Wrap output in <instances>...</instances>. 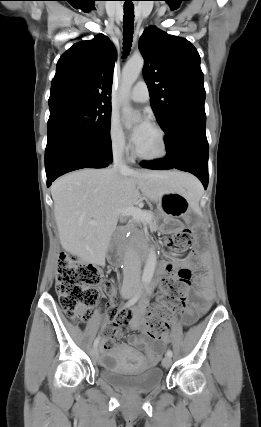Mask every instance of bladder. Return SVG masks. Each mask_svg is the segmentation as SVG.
Masks as SVG:
<instances>
[{
    "mask_svg": "<svg viewBox=\"0 0 261 427\" xmlns=\"http://www.w3.org/2000/svg\"><path fill=\"white\" fill-rule=\"evenodd\" d=\"M99 375L111 386L129 393L150 392L164 380V373L159 367L136 371L122 365L115 354L104 357Z\"/></svg>",
    "mask_w": 261,
    "mask_h": 427,
    "instance_id": "31cf9c89",
    "label": "bladder"
}]
</instances>
